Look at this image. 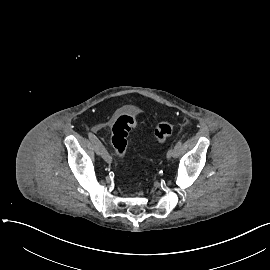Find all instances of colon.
Returning a JSON list of instances; mask_svg holds the SVG:
<instances>
[{"instance_id":"colon-1","label":"colon","mask_w":270,"mask_h":270,"mask_svg":"<svg viewBox=\"0 0 270 270\" xmlns=\"http://www.w3.org/2000/svg\"><path fill=\"white\" fill-rule=\"evenodd\" d=\"M136 119L129 114H122L116 117L110 126L111 142L118 158H124L127 153V137L135 127ZM174 131V125L169 120L159 121L154 128V135L157 141L163 142Z\"/></svg>"}]
</instances>
